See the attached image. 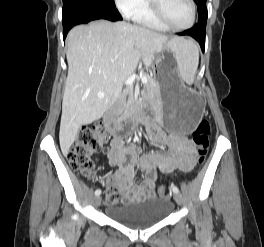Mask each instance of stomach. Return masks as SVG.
I'll list each match as a JSON object with an SVG mask.
<instances>
[{"instance_id":"stomach-1","label":"stomach","mask_w":264,"mask_h":247,"mask_svg":"<svg viewBox=\"0 0 264 247\" xmlns=\"http://www.w3.org/2000/svg\"><path fill=\"white\" fill-rule=\"evenodd\" d=\"M172 50V44H166ZM177 57L173 53H162L156 60L155 78L160 89V98L165 113L167 131H175V136H190L196 123L204 118L205 94H190L178 75Z\"/></svg>"}]
</instances>
